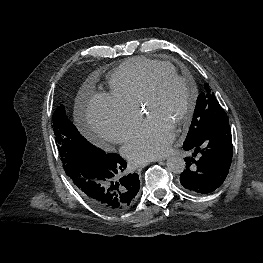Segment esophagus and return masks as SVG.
<instances>
[{
    "label": "esophagus",
    "instance_id": "1",
    "mask_svg": "<svg viewBox=\"0 0 263 263\" xmlns=\"http://www.w3.org/2000/svg\"><path fill=\"white\" fill-rule=\"evenodd\" d=\"M156 161H162V159H161V160H156ZM146 165H148V163L140 164V165H138L137 167H138L139 169H142V168H144Z\"/></svg>",
    "mask_w": 263,
    "mask_h": 263
}]
</instances>
